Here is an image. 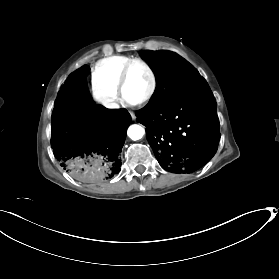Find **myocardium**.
I'll return each instance as SVG.
<instances>
[{
  "label": "myocardium",
  "mask_w": 279,
  "mask_h": 279,
  "mask_svg": "<svg viewBox=\"0 0 279 279\" xmlns=\"http://www.w3.org/2000/svg\"><path fill=\"white\" fill-rule=\"evenodd\" d=\"M136 64H139V65L143 66L147 70V72L149 73L150 78H151V86H150V89H149L148 93L143 98H141L140 100L134 101V102H128L125 99V87H126L127 77H128V74H129L131 68ZM156 89H157L156 74H155L153 68L146 61H144L143 59L134 58V59L130 60L122 68V70L119 74V77H118V94L121 98V101L124 104H126L128 106L144 105L153 98V96L155 95Z\"/></svg>",
  "instance_id": "obj_1"
}]
</instances>
